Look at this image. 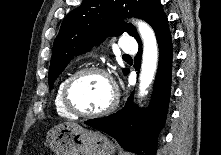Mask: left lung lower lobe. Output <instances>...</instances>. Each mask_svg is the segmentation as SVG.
Segmentation results:
<instances>
[{
    "label": "left lung lower lobe",
    "instance_id": "obj_1",
    "mask_svg": "<svg viewBox=\"0 0 221 155\" xmlns=\"http://www.w3.org/2000/svg\"><path fill=\"white\" fill-rule=\"evenodd\" d=\"M153 28L159 45V66L155 78L152 102L146 111H140L133 104V93L124 108L104 117L85 121V124L97 128L114 137L127 151L138 155H155L158 132L163 128L170 97L172 71V43L168 20L159 4L147 21ZM139 50L135 57V69H140L141 40L138 37ZM129 71L126 73L128 74Z\"/></svg>",
    "mask_w": 221,
    "mask_h": 155
}]
</instances>
